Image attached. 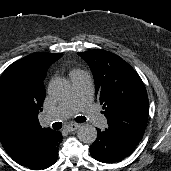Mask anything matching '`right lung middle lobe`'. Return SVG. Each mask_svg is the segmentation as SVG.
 Returning a JSON list of instances; mask_svg holds the SVG:
<instances>
[{"instance_id": "obj_1", "label": "right lung middle lobe", "mask_w": 171, "mask_h": 171, "mask_svg": "<svg viewBox=\"0 0 171 171\" xmlns=\"http://www.w3.org/2000/svg\"><path fill=\"white\" fill-rule=\"evenodd\" d=\"M21 102V94L17 83L11 76L0 79V114L5 117L17 115Z\"/></svg>"}]
</instances>
